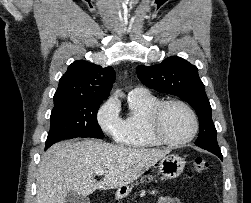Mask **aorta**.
I'll return each instance as SVG.
<instances>
[{
  "instance_id": "obj_1",
  "label": "aorta",
  "mask_w": 251,
  "mask_h": 203,
  "mask_svg": "<svg viewBox=\"0 0 251 203\" xmlns=\"http://www.w3.org/2000/svg\"><path fill=\"white\" fill-rule=\"evenodd\" d=\"M119 92L118 91H116V93H115V95L117 96V94H118Z\"/></svg>"
}]
</instances>
